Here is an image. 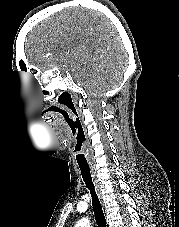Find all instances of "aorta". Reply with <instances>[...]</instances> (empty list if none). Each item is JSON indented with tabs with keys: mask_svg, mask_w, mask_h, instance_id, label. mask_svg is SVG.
Here are the masks:
<instances>
[{
	"mask_svg": "<svg viewBox=\"0 0 179 227\" xmlns=\"http://www.w3.org/2000/svg\"><path fill=\"white\" fill-rule=\"evenodd\" d=\"M75 227H91V224L88 218H82L76 223Z\"/></svg>",
	"mask_w": 179,
	"mask_h": 227,
	"instance_id": "aorta-1",
	"label": "aorta"
}]
</instances>
